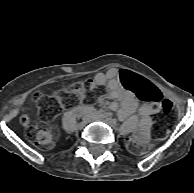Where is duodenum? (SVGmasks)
<instances>
[{
  "mask_svg": "<svg viewBox=\"0 0 194 193\" xmlns=\"http://www.w3.org/2000/svg\"><path fill=\"white\" fill-rule=\"evenodd\" d=\"M73 113L76 115H95L98 117H103V115L101 113H97L88 107H81V106L75 107L73 109ZM94 118H97V117H93V119Z\"/></svg>",
  "mask_w": 194,
  "mask_h": 193,
  "instance_id": "duodenum-1",
  "label": "duodenum"
}]
</instances>
